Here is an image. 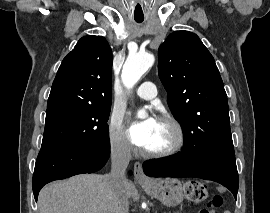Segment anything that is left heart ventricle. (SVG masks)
<instances>
[{
	"mask_svg": "<svg viewBox=\"0 0 270 213\" xmlns=\"http://www.w3.org/2000/svg\"><path fill=\"white\" fill-rule=\"evenodd\" d=\"M174 139L173 128L169 124L158 120L150 141L144 149L149 151L161 150L170 146Z\"/></svg>",
	"mask_w": 270,
	"mask_h": 213,
	"instance_id": "left-heart-ventricle-1",
	"label": "left heart ventricle"
}]
</instances>
